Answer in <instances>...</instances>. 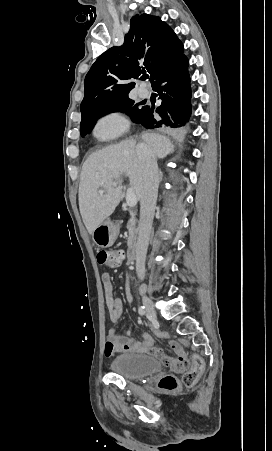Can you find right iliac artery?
I'll return each mask as SVG.
<instances>
[{
    "instance_id": "1",
    "label": "right iliac artery",
    "mask_w": 272,
    "mask_h": 451,
    "mask_svg": "<svg viewBox=\"0 0 272 451\" xmlns=\"http://www.w3.org/2000/svg\"><path fill=\"white\" fill-rule=\"evenodd\" d=\"M138 312L140 315L144 316L146 313L145 307L144 306L139 307Z\"/></svg>"
}]
</instances>
